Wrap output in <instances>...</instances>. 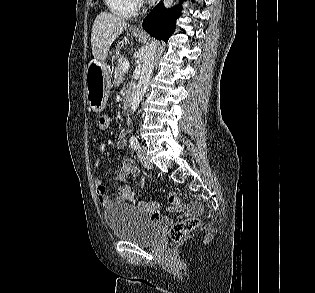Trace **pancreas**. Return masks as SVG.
Here are the masks:
<instances>
[{"label": "pancreas", "mask_w": 315, "mask_h": 293, "mask_svg": "<svg viewBox=\"0 0 315 293\" xmlns=\"http://www.w3.org/2000/svg\"><path fill=\"white\" fill-rule=\"evenodd\" d=\"M125 61H126L125 59L118 60V66L115 70V84L116 85H120L124 80L123 63Z\"/></svg>", "instance_id": "cf45deb5"}]
</instances>
